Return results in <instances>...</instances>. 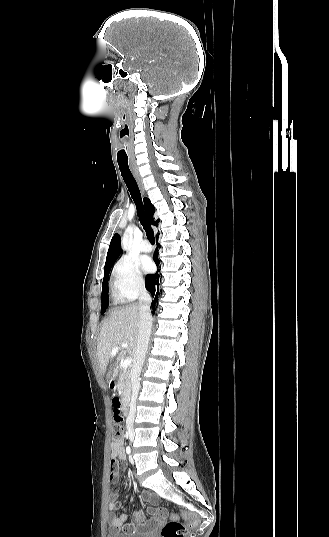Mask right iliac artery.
I'll use <instances>...</instances> for the list:
<instances>
[{
    "label": "right iliac artery",
    "instance_id": "82829eb1",
    "mask_svg": "<svg viewBox=\"0 0 329 537\" xmlns=\"http://www.w3.org/2000/svg\"><path fill=\"white\" fill-rule=\"evenodd\" d=\"M126 452H127V454H130V452H131V449H130V447H129V446H128V447L126 448Z\"/></svg>",
    "mask_w": 329,
    "mask_h": 537
}]
</instances>
